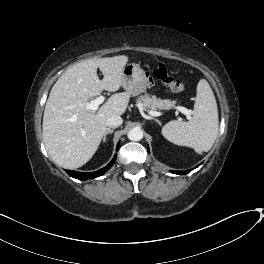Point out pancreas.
Segmentation results:
<instances>
[{
	"label": "pancreas",
	"instance_id": "pancreas-1",
	"mask_svg": "<svg viewBox=\"0 0 264 264\" xmlns=\"http://www.w3.org/2000/svg\"><path fill=\"white\" fill-rule=\"evenodd\" d=\"M144 109L147 110H168L175 106V101L170 99H160L156 96H150L149 94H145L138 99Z\"/></svg>",
	"mask_w": 264,
	"mask_h": 264
}]
</instances>
